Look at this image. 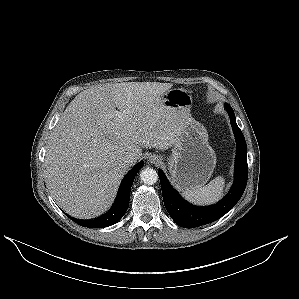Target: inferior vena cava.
I'll list each match as a JSON object with an SVG mask.
<instances>
[{
    "label": "inferior vena cava",
    "instance_id": "602c4592",
    "mask_svg": "<svg viewBox=\"0 0 299 299\" xmlns=\"http://www.w3.org/2000/svg\"><path fill=\"white\" fill-rule=\"evenodd\" d=\"M135 161V156L132 153H128L124 156L123 162L125 165H131Z\"/></svg>",
    "mask_w": 299,
    "mask_h": 299
}]
</instances>
